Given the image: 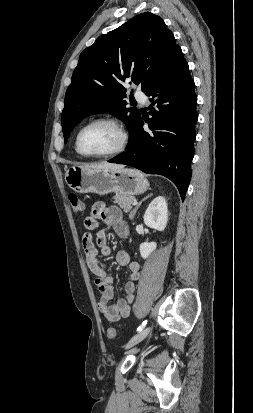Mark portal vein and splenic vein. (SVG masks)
I'll use <instances>...</instances> for the list:
<instances>
[{
  "instance_id": "portal-vein-and-splenic-vein-1",
  "label": "portal vein and splenic vein",
  "mask_w": 253,
  "mask_h": 413,
  "mask_svg": "<svg viewBox=\"0 0 253 413\" xmlns=\"http://www.w3.org/2000/svg\"><path fill=\"white\" fill-rule=\"evenodd\" d=\"M136 203H137L136 200H134L133 204H136Z\"/></svg>"
}]
</instances>
